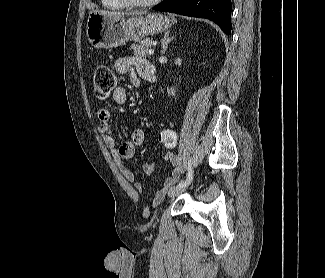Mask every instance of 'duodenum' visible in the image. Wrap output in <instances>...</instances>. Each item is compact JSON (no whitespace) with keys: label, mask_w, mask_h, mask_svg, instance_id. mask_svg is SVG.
<instances>
[{"label":"duodenum","mask_w":325,"mask_h":278,"mask_svg":"<svg viewBox=\"0 0 325 278\" xmlns=\"http://www.w3.org/2000/svg\"><path fill=\"white\" fill-rule=\"evenodd\" d=\"M145 76H146L145 79H147L150 82H155L156 81L157 77H156L155 70L150 64L146 68Z\"/></svg>","instance_id":"duodenum-1"}]
</instances>
